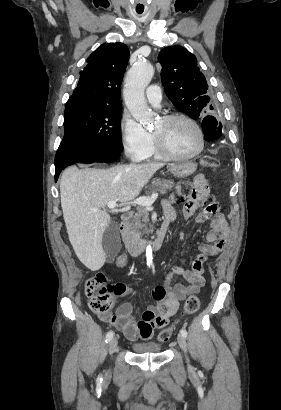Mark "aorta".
<instances>
[{
	"mask_svg": "<svg viewBox=\"0 0 281 410\" xmlns=\"http://www.w3.org/2000/svg\"><path fill=\"white\" fill-rule=\"evenodd\" d=\"M154 68L150 63L138 62L128 72L124 89L125 104L131 115L143 126L153 121V113L147 106L144 90L152 80ZM153 255L150 245L146 247L147 266L152 265Z\"/></svg>",
	"mask_w": 281,
	"mask_h": 410,
	"instance_id": "1",
	"label": "aorta"
}]
</instances>
